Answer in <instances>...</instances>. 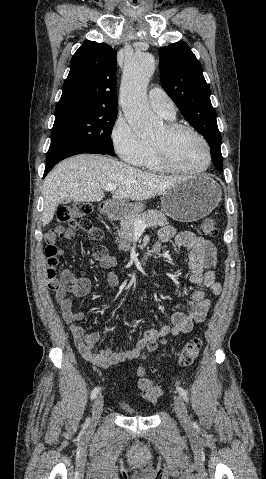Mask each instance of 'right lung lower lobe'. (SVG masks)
Returning a JSON list of instances; mask_svg holds the SVG:
<instances>
[{
    "label": "right lung lower lobe",
    "instance_id": "1",
    "mask_svg": "<svg viewBox=\"0 0 266 479\" xmlns=\"http://www.w3.org/2000/svg\"><path fill=\"white\" fill-rule=\"evenodd\" d=\"M81 153L107 154L106 152L94 148L80 147L66 143H51L46 158V168L43 178L49 171L61 160Z\"/></svg>",
    "mask_w": 266,
    "mask_h": 479
}]
</instances>
